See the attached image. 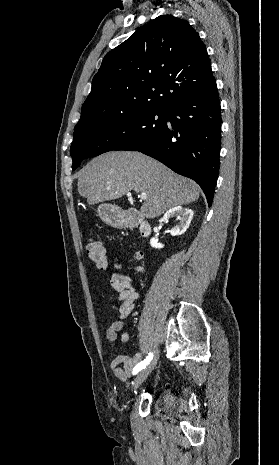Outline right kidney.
<instances>
[{
    "label": "right kidney",
    "instance_id": "right-kidney-1",
    "mask_svg": "<svg viewBox=\"0 0 279 465\" xmlns=\"http://www.w3.org/2000/svg\"><path fill=\"white\" fill-rule=\"evenodd\" d=\"M173 216H176L180 220V223L178 225L174 226L169 231L171 236L176 237V236L182 235L188 229V227H189V225L191 223V220L193 218V211L191 209H188V208H183L182 206H176V207H173V208L169 209L164 214V216L160 219L159 222L160 223L161 222H168L169 218H171ZM153 230H154V232H158L157 227H154ZM150 245L152 247L158 248V249L163 248V244L158 243V240H156L155 238H151Z\"/></svg>",
    "mask_w": 279,
    "mask_h": 465
}]
</instances>
